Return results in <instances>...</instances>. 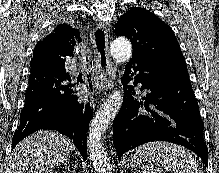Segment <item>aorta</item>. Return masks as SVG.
Listing matches in <instances>:
<instances>
[{
    "instance_id": "1",
    "label": "aorta",
    "mask_w": 219,
    "mask_h": 173,
    "mask_svg": "<svg viewBox=\"0 0 219 173\" xmlns=\"http://www.w3.org/2000/svg\"><path fill=\"white\" fill-rule=\"evenodd\" d=\"M110 52L118 63H125L132 57V45L124 37L116 38ZM123 102L121 91L113 92L92 118L88 130L87 150L90 163L96 173H112L111 161L101 144V139L111 121L118 114Z\"/></svg>"
}]
</instances>
